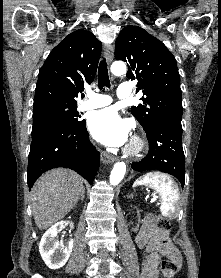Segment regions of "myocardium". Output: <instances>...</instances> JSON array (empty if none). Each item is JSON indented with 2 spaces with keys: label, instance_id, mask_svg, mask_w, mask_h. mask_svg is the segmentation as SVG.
<instances>
[{
  "label": "myocardium",
  "instance_id": "1",
  "mask_svg": "<svg viewBox=\"0 0 221 278\" xmlns=\"http://www.w3.org/2000/svg\"><path fill=\"white\" fill-rule=\"evenodd\" d=\"M144 147H145L144 140L139 136H134L130 144L126 148L125 154L131 157L137 156L143 151Z\"/></svg>",
  "mask_w": 221,
  "mask_h": 278
}]
</instances>
